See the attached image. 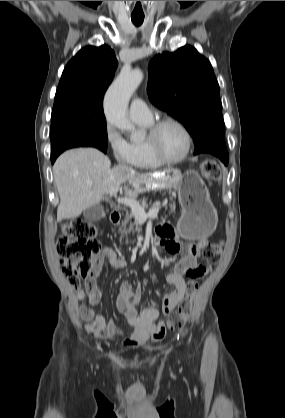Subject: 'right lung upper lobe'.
I'll list each match as a JSON object with an SVG mask.
<instances>
[{"mask_svg": "<svg viewBox=\"0 0 285 418\" xmlns=\"http://www.w3.org/2000/svg\"><path fill=\"white\" fill-rule=\"evenodd\" d=\"M118 62L107 45L82 48L66 65L54 100L57 105L102 107Z\"/></svg>", "mask_w": 285, "mask_h": 418, "instance_id": "cb5924a9", "label": "right lung upper lobe"}]
</instances>
